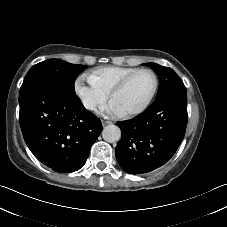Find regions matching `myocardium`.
I'll list each match as a JSON object with an SVG mask.
<instances>
[{"label":"myocardium","mask_w":227,"mask_h":227,"mask_svg":"<svg viewBox=\"0 0 227 227\" xmlns=\"http://www.w3.org/2000/svg\"><path fill=\"white\" fill-rule=\"evenodd\" d=\"M143 73H149L153 76L154 87H153L149 97L147 98V100L139 108L126 112L124 114V116H126V117H134V116L140 115L150 106L151 102L153 101V99L157 93L158 87H159V79H158L157 74L151 69H140V70L132 73L131 75L127 76L122 81H120L110 92V98L113 100L117 94H119L120 92H122L124 89L127 88L129 83L135 77H137L138 75L143 74Z\"/></svg>","instance_id":"myocardium-1"}]
</instances>
